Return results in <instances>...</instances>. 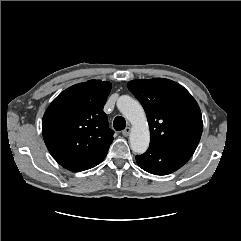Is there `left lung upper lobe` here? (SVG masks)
<instances>
[{"label":"left lung upper lobe","instance_id":"5c2ea615","mask_svg":"<svg viewBox=\"0 0 241 241\" xmlns=\"http://www.w3.org/2000/svg\"><path fill=\"white\" fill-rule=\"evenodd\" d=\"M128 88L146 112L151 143L197 148L203 129L202 115L183 86L156 78L132 80Z\"/></svg>","mask_w":241,"mask_h":241}]
</instances>
